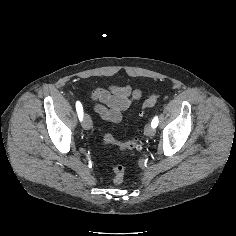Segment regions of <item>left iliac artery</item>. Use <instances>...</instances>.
<instances>
[{
	"instance_id": "obj_1",
	"label": "left iliac artery",
	"mask_w": 236,
	"mask_h": 236,
	"mask_svg": "<svg viewBox=\"0 0 236 236\" xmlns=\"http://www.w3.org/2000/svg\"><path fill=\"white\" fill-rule=\"evenodd\" d=\"M157 125H158V117L155 116V117L153 118L152 122H151V126H152L153 128H156Z\"/></svg>"
}]
</instances>
